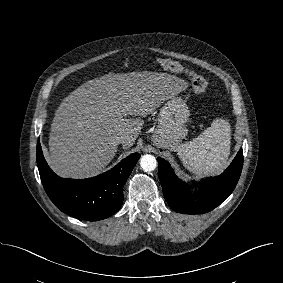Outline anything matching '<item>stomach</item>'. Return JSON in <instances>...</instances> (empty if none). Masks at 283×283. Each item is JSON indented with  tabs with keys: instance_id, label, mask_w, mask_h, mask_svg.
<instances>
[{
	"instance_id": "0dacf381",
	"label": "stomach",
	"mask_w": 283,
	"mask_h": 283,
	"mask_svg": "<svg viewBox=\"0 0 283 283\" xmlns=\"http://www.w3.org/2000/svg\"><path fill=\"white\" fill-rule=\"evenodd\" d=\"M189 115V108L181 97L169 98L158 114V126L152 136V143L157 147L176 151L187 136L185 124Z\"/></svg>"
}]
</instances>
